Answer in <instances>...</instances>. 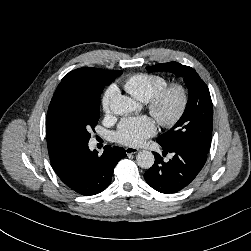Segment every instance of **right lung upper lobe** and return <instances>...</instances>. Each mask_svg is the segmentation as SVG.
Segmentation results:
<instances>
[{
	"label": "right lung upper lobe",
	"instance_id": "cb5924a9",
	"mask_svg": "<svg viewBox=\"0 0 251 251\" xmlns=\"http://www.w3.org/2000/svg\"><path fill=\"white\" fill-rule=\"evenodd\" d=\"M119 71L120 70L106 71L103 69L84 67L73 70L62 78L50 102L46 117L47 146L51 161L55 160L66 149L75 145L62 120L63 99L67 84L70 80L93 73H115Z\"/></svg>",
	"mask_w": 251,
	"mask_h": 251
}]
</instances>
